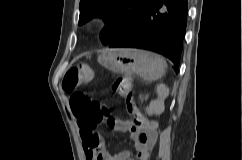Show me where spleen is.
<instances>
[{
    "instance_id": "3e777b00",
    "label": "spleen",
    "mask_w": 242,
    "mask_h": 160,
    "mask_svg": "<svg viewBox=\"0 0 242 160\" xmlns=\"http://www.w3.org/2000/svg\"><path fill=\"white\" fill-rule=\"evenodd\" d=\"M155 57H156V62H158L159 63V65H160V68H159V74L156 76V78L155 79H157V78H159V77H161L162 75H163V73H164V69H165V67H166V62H165V60L163 59V58H161L159 55H156L155 54ZM158 90H160V87H158Z\"/></svg>"
}]
</instances>
